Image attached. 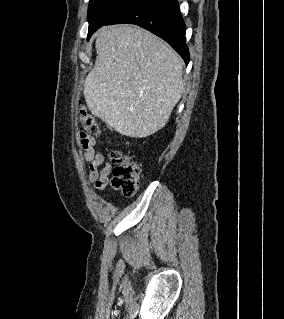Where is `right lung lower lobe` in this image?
Returning <instances> with one entry per match:
<instances>
[{"label": "right lung lower lobe", "instance_id": "1", "mask_svg": "<svg viewBox=\"0 0 284 319\" xmlns=\"http://www.w3.org/2000/svg\"><path fill=\"white\" fill-rule=\"evenodd\" d=\"M119 23L136 24L149 30L168 42L186 65L189 63V49L185 43L186 26L177 0H134L104 25Z\"/></svg>", "mask_w": 284, "mask_h": 319}]
</instances>
